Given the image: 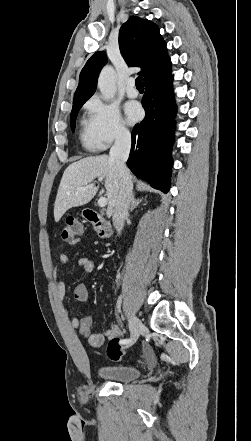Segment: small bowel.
Segmentation results:
<instances>
[{
    "instance_id": "small-bowel-1",
    "label": "small bowel",
    "mask_w": 251,
    "mask_h": 441,
    "mask_svg": "<svg viewBox=\"0 0 251 441\" xmlns=\"http://www.w3.org/2000/svg\"><path fill=\"white\" fill-rule=\"evenodd\" d=\"M79 242V239H74L71 244L75 245ZM70 261V257L66 253H62L59 257V262L61 264H67ZM77 266L81 269L83 273H90L94 269V263L87 257H79L76 261ZM54 276L56 280V290L60 299L64 300L66 298V285L63 276L57 274L56 269L54 270ZM74 298L80 302H86L89 298V292L87 287L80 283L74 287L73 290ZM71 325L74 329L88 339L89 343L93 347H100L104 343L106 338H116L121 335V329L118 325L112 324L104 332H93L92 331V317L90 315H85L83 317L72 316ZM146 357L149 361L154 360V355L152 352L148 351Z\"/></svg>"
}]
</instances>
